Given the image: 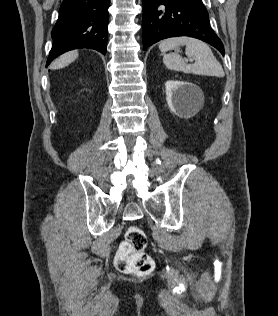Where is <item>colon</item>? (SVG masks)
Masks as SVG:
<instances>
[{
	"mask_svg": "<svg viewBox=\"0 0 278 316\" xmlns=\"http://www.w3.org/2000/svg\"><path fill=\"white\" fill-rule=\"evenodd\" d=\"M147 236L137 226H130L115 257L116 268L123 273L145 275L154 268L153 259L145 252Z\"/></svg>",
	"mask_w": 278,
	"mask_h": 316,
	"instance_id": "colon-1",
	"label": "colon"
}]
</instances>
